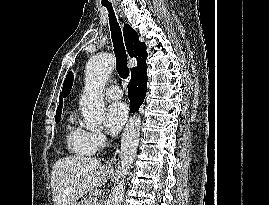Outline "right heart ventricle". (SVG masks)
Returning a JSON list of instances; mask_svg holds the SVG:
<instances>
[{"mask_svg": "<svg viewBox=\"0 0 269 205\" xmlns=\"http://www.w3.org/2000/svg\"><path fill=\"white\" fill-rule=\"evenodd\" d=\"M66 145L69 152L77 157H89L95 152L89 139V133L78 126L73 117L66 125Z\"/></svg>", "mask_w": 269, "mask_h": 205, "instance_id": "right-heart-ventricle-1", "label": "right heart ventricle"}]
</instances>
